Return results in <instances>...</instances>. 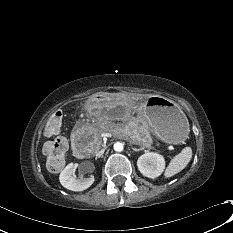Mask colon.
Wrapping results in <instances>:
<instances>
[{
	"instance_id": "obj_1",
	"label": "colon",
	"mask_w": 233,
	"mask_h": 233,
	"mask_svg": "<svg viewBox=\"0 0 233 233\" xmlns=\"http://www.w3.org/2000/svg\"><path fill=\"white\" fill-rule=\"evenodd\" d=\"M63 115L60 111H56L49 118L46 127V135H57L62 129ZM44 155L47 158V164L51 170H59L63 167L67 152V141L58 137L47 142L43 148Z\"/></svg>"
}]
</instances>
